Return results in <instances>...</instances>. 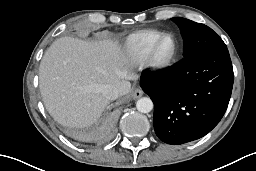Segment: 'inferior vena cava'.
<instances>
[{"label": "inferior vena cava", "mask_w": 256, "mask_h": 171, "mask_svg": "<svg viewBox=\"0 0 256 171\" xmlns=\"http://www.w3.org/2000/svg\"><path fill=\"white\" fill-rule=\"evenodd\" d=\"M102 94L108 100H115L116 98H118L119 90L115 85L106 84L102 87Z\"/></svg>", "instance_id": "1"}]
</instances>
